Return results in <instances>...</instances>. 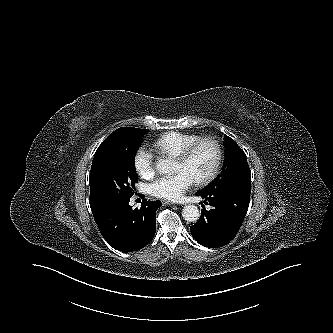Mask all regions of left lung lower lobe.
<instances>
[{"label":"left lung lower lobe","instance_id":"1","mask_svg":"<svg viewBox=\"0 0 333 333\" xmlns=\"http://www.w3.org/2000/svg\"><path fill=\"white\" fill-rule=\"evenodd\" d=\"M197 196L212 208L201 210L199 220L190 227L193 238L203 246L219 248L237 234L248 210L249 202L239 201L214 191H199ZM204 207V205L202 204Z\"/></svg>","mask_w":333,"mask_h":333}]
</instances>
